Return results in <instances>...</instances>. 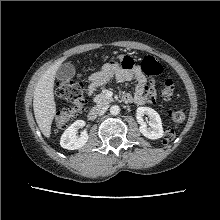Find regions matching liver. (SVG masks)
<instances>
[{
	"label": "liver",
	"mask_w": 220,
	"mask_h": 220,
	"mask_svg": "<svg viewBox=\"0 0 220 220\" xmlns=\"http://www.w3.org/2000/svg\"><path fill=\"white\" fill-rule=\"evenodd\" d=\"M65 58L54 63L40 77L36 84L33 97V109L36 122L42 134L49 138L51 124L56 114V103L54 100V81L57 69Z\"/></svg>",
	"instance_id": "obj_1"
}]
</instances>
